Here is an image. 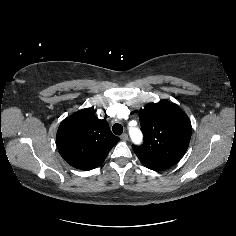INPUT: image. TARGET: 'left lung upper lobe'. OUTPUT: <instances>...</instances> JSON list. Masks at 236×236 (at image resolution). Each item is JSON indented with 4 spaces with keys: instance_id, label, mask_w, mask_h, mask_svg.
<instances>
[{
    "instance_id": "obj_1",
    "label": "left lung upper lobe",
    "mask_w": 236,
    "mask_h": 236,
    "mask_svg": "<svg viewBox=\"0 0 236 236\" xmlns=\"http://www.w3.org/2000/svg\"><path fill=\"white\" fill-rule=\"evenodd\" d=\"M142 146L133 150L145 167L161 171L175 165L186 152L191 138V122L182 109L162 100L139 112Z\"/></svg>"
}]
</instances>
